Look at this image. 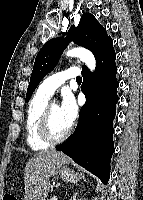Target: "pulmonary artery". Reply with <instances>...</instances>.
I'll return each instance as SVG.
<instances>
[{
    "mask_svg": "<svg viewBox=\"0 0 143 200\" xmlns=\"http://www.w3.org/2000/svg\"><path fill=\"white\" fill-rule=\"evenodd\" d=\"M79 75L80 71L76 67L66 69L44 79L38 89L50 97L66 80L77 78Z\"/></svg>",
    "mask_w": 143,
    "mask_h": 200,
    "instance_id": "1",
    "label": "pulmonary artery"
}]
</instances>
